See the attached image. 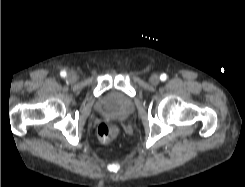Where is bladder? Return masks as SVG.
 Instances as JSON below:
<instances>
[{
  "instance_id": "bladder-1",
  "label": "bladder",
  "mask_w": 245,
  "mask_h": 187,
  "mask_svg": "<svg viewBox=\"0 0 245 187\" xmlns=\"http://www.w3.org/2000/svg\"><path fill=\"white\" fill-rule=\"evenodd\" d=\"M94 109L102 115L126 117L133 112L134 103L121 92H110L96 100Z\"/></svg>"
}]
</instances>
